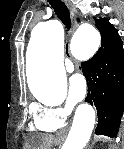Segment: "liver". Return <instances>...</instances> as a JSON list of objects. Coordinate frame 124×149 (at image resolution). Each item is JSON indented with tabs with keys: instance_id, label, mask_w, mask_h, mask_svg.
Instances as JSON below:
<instances>
[{
	"instance_id": "liver-1",
	"label": "liver",
	"mask_w": 124,
	"mask_h": 149,
	"mask_svg": "<svg viewBox=\"0 0 124 149\" xmlns=\"http://www.w3.org/2000/svg\"><path fill=\"white\" fill-rule=\"evenodd\" d=\"M52 141L51 136L31 137L27 149H50Z\"/></svg>"
}]
</instances>
